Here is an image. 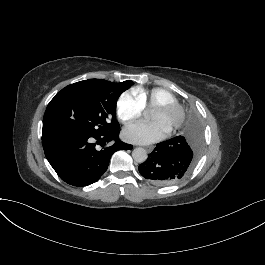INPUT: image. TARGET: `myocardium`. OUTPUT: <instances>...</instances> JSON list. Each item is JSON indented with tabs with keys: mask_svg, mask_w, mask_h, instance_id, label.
Wrapping results in <instances>:
<instances>
[{
	"mask_svg": "<svg viewBox=\"0 0 265 265\" xmlns=\"http://www.w3.org/2000/svg\"><path fill=\"white\" fill-rule=\"evenodd\" d=\"M172 109L177 110V115L171 121L168 127L169 131H173V130L180 128L182 124L184 123L185 115H186L184 107L177 101H165L154 107V110L162 111V112H167Z\"/></svg>",
	"mask_w": 265,
	"mask_h": 265,
	"instance_id": "f54148a6",
	"label": "myocardium"
}]
</instances>
